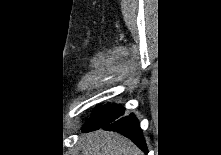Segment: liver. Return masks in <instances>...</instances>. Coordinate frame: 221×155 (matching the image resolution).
Instances as JSON below:
<instances>
[{
	"label": "liver",
	"instance_id": "6515ba94",
	"mask_svg": "<svg viewBox=\"0 0 221 155\" xmlns=\"http://www.w3.org/2000/svg\"><path fill=\"white\" fill-rule=\"evenodd\" d=\"M79 144L81 155H141L127 138L105 130L82 135Z\"/></svg>",
	"mask_w": 221,
	"mask_h": 155
}]
</instances>
